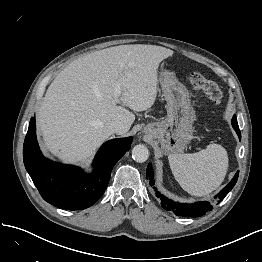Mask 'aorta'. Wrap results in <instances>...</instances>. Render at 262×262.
<instances>
[{"instance_id":"1","label":"aorta","mask_w":262,"mask_h":262,"mask_svg":"<svg viewBox=\"0 0 262 262\" xmlns=\"http://www.w3.org/2000/svg\"><path fill=\"white\" fill-rule=\"evenodd\" d=\"M149 157V151L148 148L143 144H138L133 147L132 149V158L138 162L143 163L145 162Z\"/></svg>"}]
</instances>
